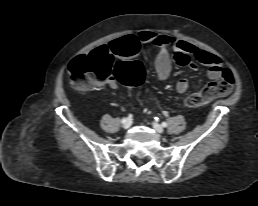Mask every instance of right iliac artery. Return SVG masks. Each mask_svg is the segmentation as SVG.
I'll return each mask as SVG.
<instances>
[{"label":"right iliac artery","instance_id":"obj_1","mask_svg":"<svg viewBox=\"0 0 258 206\" xmlns=\"http://www.w3.org/2000/svg\"><path fill=\"white\" fill-rule=\"evenodd\" d=\"M125 120H126V118H123L121 122H122V123H124V122H125Z\"/></svg>","mask_w":258,"mask_h":206}]
</instances>
